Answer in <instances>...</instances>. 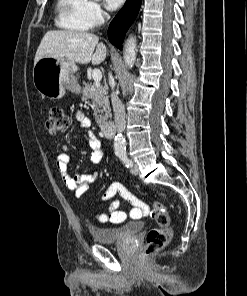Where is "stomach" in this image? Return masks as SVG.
Segmentation results:
<instances>
[{"label":"stomach","mask_w":247,"mask_h":296,"mask_svg":"<svg viewBox=\"0 0 247 296\" xmlns=\"http://www.w3.org/2000/svg\"><path fill=\"white\" fill-rule=\"evenodd\" d=\"M78 67L75 62L67 59L44 57L34 63L33 83L37 91L50 99H60L65 94V89L79 93L73 73Z\"/></svg>","instance_id":"1"}]
</instances>
